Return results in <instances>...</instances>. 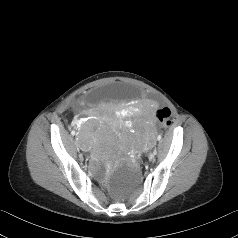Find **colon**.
<instances>
[{"mask_svg":"<svg viewBox=\"0 0 238 238\" xmlns=\"http://www.w3.org/2000/svg\"><path fill=\"white\" fill-rule=\"evenodd\" d=\"M156 117L158 121L165 127L170 124V111L167 108H160L156 112ZM111 180V175L109 173H104L101 176L100 184L102 186H107Z\"/></svg>","mask_w":238,"mask_h":238,"instance_id":"obj_1","label":"colon"}]
</instances>
